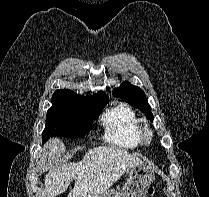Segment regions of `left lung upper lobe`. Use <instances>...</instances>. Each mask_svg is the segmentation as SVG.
Returning <instances> with one entry per match:
<instances>
[{
  "mask_svg": "<svg viewBox=\"0 0 209 197\" xmlns=\"http://www.w3.org/2000/svg\"><path fill=\"white\" fill-rule=\"evenodd\" d=\"M113 95L120 97L130 103L132 106L139 108L145 112L151 120H153V114L151 107L148 104L144 91L139 87L132 85L129 82H124L118 88H114L112 91Z\"/></svg>",
  "mask_w": 209,
  "mask_h": 197,
  "instance_id": "1",
  "label": "left lung upper lobe"
}]
</instances>
